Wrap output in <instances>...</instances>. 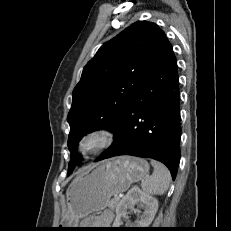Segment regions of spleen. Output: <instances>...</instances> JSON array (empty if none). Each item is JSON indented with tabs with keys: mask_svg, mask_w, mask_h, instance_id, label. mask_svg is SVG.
I'll return each mask as SVG.
<instances>
[{
	"mask_svg": "<svg viewBox=\"0 0 231 231\" xmlns=\"http://www.w3.org/2000/svg\"><path fill=\"white\" fill-rule=\"evenodd\" d=\"M154 167L153 174L147 176L141 183L143 191L147 194L162 195L168 188L171 181L169 170L160 162L151 160Z\"/></svg>",
	"mask_w": 231,
	"mask_h": 231,
	"instance_id": "spleen-1",
	"label": "spleen"
}]
</instances>
